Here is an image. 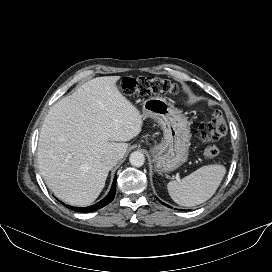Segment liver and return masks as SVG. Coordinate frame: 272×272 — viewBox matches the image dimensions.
I'll list each match as a JSON object with an SVG mask.
<instances>
[{"label": "liver", "mask_w": 272, "mask_h": 272, "mask_svg": "<svg viewBox=\"0 0 272 272\" xmlns=\"http://www.w3.org/2000/svg\"><path fill=\"white\" fill-rule=\"evenodd\" d=\"M120 76L94 78L49 110L38 142L40 173L62 201L87 206L105 186L110 151L126 153V141L142 129L139 110L118 90Z\"/></svg>", "instance_id": "1"}]
</instances>
